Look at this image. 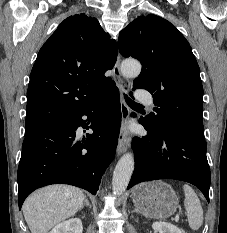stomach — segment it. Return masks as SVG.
Returning a JSON list of instances; mask_svg holds the SVG:
<instances>
[{
	"instance_id": "0dacf381",
	"label": "stomach",
	"mask_w": 227,
	"mask_h": 233,
	"mask_svg": "<svg viewBox=\"0 0 227 233\" xmlns=\"http://www.w3.org/2000/svg\"><path fill=\"white\" fill-rule=\"evenodd\" d=\"M136 209L144 216L165 219L178 208V197L171 186L162 181L146 182L132 191Z\"/></svg>"
}]
</instances>
